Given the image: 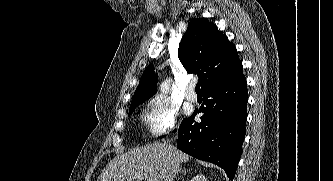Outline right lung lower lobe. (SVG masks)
Returning a JSON list of instances; mask_svg holds the SVG:
<instances>
[{
    "mask_svg": "<svg viewBox=\"0 0 333 181\" xmlns=\"http://www.w3.org/2000/svg\"><path fill=\"white\" fill-rule=\"evenodd\" d=\"M247 101L243 73L205 89L199 110L204 113L201 122H194L192 117L182 121L177 147L195 158L220 166L233 180L246 132Z\"/></svg>",
    "mask_w": 333,
    "mask_h": 181,
    "instance_id": "1",
    "label": "right lung lower lobe"
}]
</instances>
